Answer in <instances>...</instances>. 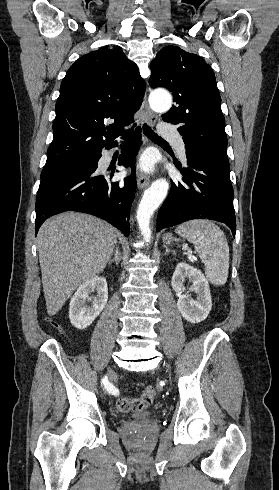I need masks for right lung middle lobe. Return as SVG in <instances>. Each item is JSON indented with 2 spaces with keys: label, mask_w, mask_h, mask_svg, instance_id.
<instances>
[{
  "label": "right lung middle lobe",
  "mask_w": 279,
  "mask_h": 490,
  "mask_svg": "<svg viewBox=\"0 0 279 490\" xmlns=\"http://www.w3.org/2000/svg\"><path fill=\"white\" fill-rule=\"evenodd\" d=\"M91 163L92 157L46 164L41 173L40 184H45L72 175L92 172L94 169H92Z\"/></svg>",
  "instance_id": "dd1d6c3e"
}]
</instances>
